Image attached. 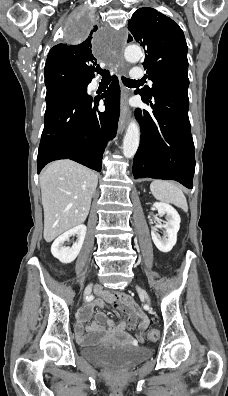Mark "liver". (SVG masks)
Instances as JSON below:
<instances>
[{
  "instance_id": "liver-1",
  "label": "liver",
  "mask_w": 228,
  "mask_h": 396,
  "mask_svg": "<svg viewBox=\"0 0 228 396\" xmlns=\"http://www.w3.org/2000/svg\"><path fill=\"white\" fill-rule=\"evenodd\" d=\"M97 183L92 170L72 160L54 161L44 169L40 187L46 242L86 220Z\"/></svg>"
}]
</instances>
